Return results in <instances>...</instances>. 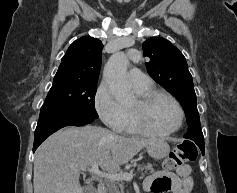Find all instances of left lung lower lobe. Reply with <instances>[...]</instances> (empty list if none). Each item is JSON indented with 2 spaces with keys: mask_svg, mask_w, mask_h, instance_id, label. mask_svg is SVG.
Masks as SVG:
<instances>
[{
  "mask_svg": "<svg viewBox=\"0 0 237 193\" xmlns=\"http://www.w3.org/2000/svg\"><path fill=\"white\" fill-rule=\"evenodd\" d=\"M200 150H201L202 154L204 155V148L200 147Z\"/></svg>",
  "mask_w": 237,
  "mask_h": 193,
  "instance_id": "left-lung-lower-lobe-1",
  "label": "left lung lower lobe"
}]
</instances>
